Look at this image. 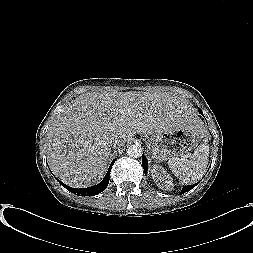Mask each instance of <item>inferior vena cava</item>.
<instances>
[{
    "label": "inferior vena cava",
    "mask_w": 253,
    "mask_h": 253,
    "mask_svg": "<svg viewBox=\"0 0 253 253\" xmlns=\"http://www.w3.org/2000/svg\"><path fill=\"white\" fill-rule=\"evenodd\" d=\"M111 144L116 149H121L123 147L122 137L120 135H113L111 137Z\"/></svg>",
    "instance_id": "1"
}]
</instances>
